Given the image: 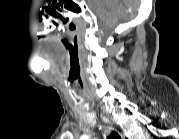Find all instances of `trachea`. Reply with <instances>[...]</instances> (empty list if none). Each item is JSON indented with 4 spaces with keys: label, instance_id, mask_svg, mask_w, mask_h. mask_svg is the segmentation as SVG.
<instances>
[{
    "label": "trachea",
    "instance_id": "3493384b",
    "mask_svg": "<svg viewBox=\"0 0 179 139\" xmlns=\"http://www.w3.org/2000/svg\"><path fill=\"white\" fill-rule=\"evenodd\" d=\"M108 138L109 139H120V136L116 132H112Z\"/></svg>",
    "mask_w": 179,
    "mask_h": 139
}]
</instances>
